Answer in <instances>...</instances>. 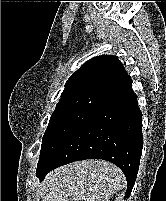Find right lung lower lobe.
<instances>
[{
	"mask_svg": "<svg viewBox=\"0 0 166 201\" xmlns=\"http://www.w3.org/2000/svg\"><path fill=\"white\" fill-rule=\"evenodd\" d=\"M143 148L142 113L132 79L127 76L94 112L58 147L36 175L84 159H103L117 165L127 179L126 198L133 189Z\"/></svg>",
	"mask_w": 166,
	"mask_h": 201,
	"instance_id": "right-lung-lower-lobe-1",
	"label": "right lung lower lobe"
}]
</instances>
